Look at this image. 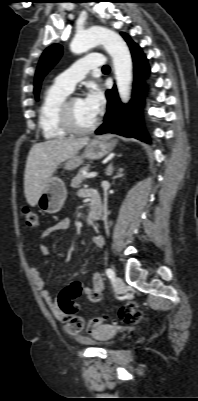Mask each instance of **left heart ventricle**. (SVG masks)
Instances as JSON below:
<instances>
[{
	"label": "left heart ventricle",
	"mask_w": 198,
	"mask_h": 401,
	"mask_svg": "<svg viewBox=\"0 0 198 401\" xmlns=\"http://www.w3.org/2000/svg\"><path fill=\"white\" fill-rule=\"evenodd\" d=\"M73 118L75 123L80 127L89 126L94 122V116L85 106L83 99L77 98L72 103Z\"/></svg>",
	"instance_id": "left-heart-ventricle-1"
}]
</instances>
